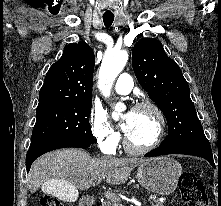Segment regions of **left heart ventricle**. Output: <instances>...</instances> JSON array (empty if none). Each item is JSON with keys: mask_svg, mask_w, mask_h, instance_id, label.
I'll list each match as a JSON object with an SVG mask.
<instances>
[{"mask_svg": "<svg viewBox=\"0 0 221 206\" xmlns=\"http://www.w3.org/2000/svg\"><path fill=\"white\" fill-rule=\"evenodd\" d=\"M157 132V120L152 111L141 109L132 111L130 127L126 133L130 143L141 147L149 144Z\"/></svg>", "mask_w": 221, "mask_h": 206, "instance_id": "b2bd125f", "label": "left heart ventricle"}]
</instances>
